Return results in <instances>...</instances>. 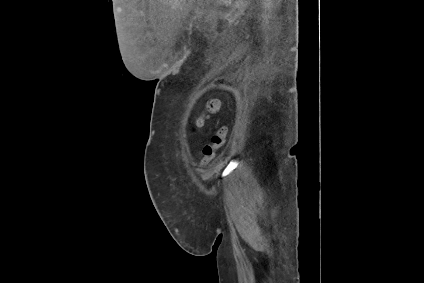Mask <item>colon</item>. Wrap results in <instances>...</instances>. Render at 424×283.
I'll return each instance as SVG.
<instances>
[{
  "instance_id": "1",
  "label": "colon",
  "mask_w": 424,
  "mask_h": 283,
  "mask_svg": "<svg viewBox=\"0 0 424 283\" xmlns=\"http://www.w3.org/2000/svg\"><path fill=\"white\" fill-rule=\"evenodd\" d=\"M220 111V101L218 99L209 100L204 111L195 119V126L200 128L204 125L205 120L212 118ZM227 131L225 127L215 130L210 139V143L203 147V157L200 162L201 166L207 165L214 157L216 152L224 145L226 141Z\"/></svg>"
}]
</instances>
